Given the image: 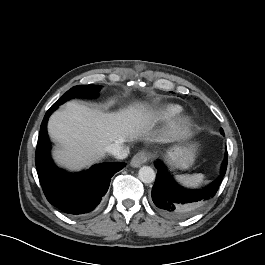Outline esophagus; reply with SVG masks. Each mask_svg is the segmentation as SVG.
Masks as SVG:
<instances>
[{"instance_id":"34e87169","label":"esophagus","mask_w":265,"mask_h":265,"mask_svg":"<svg viewBox=\"0 0 265 265\" xmlns=\"http://www.w3.org/2000/svg\"><path fill=\"white\" fill-rule=\"evenodd\" d=\"M148 160V155L146 152L144 151H141V152H138L137 154H135L133 156V158L131 159V166L132 167H140L142 164L146 163Z\"/></svg>"}]
</instances>
